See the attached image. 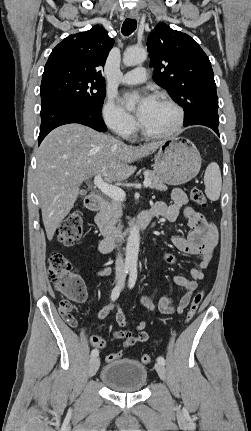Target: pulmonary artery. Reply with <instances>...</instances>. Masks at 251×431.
Wrapping results in <instances>:
<instances>
[{"label": "pulmonary artery", "mask_w": 251, "mask_h": 431, "mask_svg": "<svg viewBox=\"0 0 251 431\" xmlns=\"http://www.w3.org/2000/svg\"><path fill=\"white\" fill-rule=\"evenodd\" d=\"M147 78V72L144 67H138L132 71L126 72L120 77V81L124 84L134 85L142 83Z\"/></svg>", "instance_id": "pulmonary-artery-1"}]
</instances>
